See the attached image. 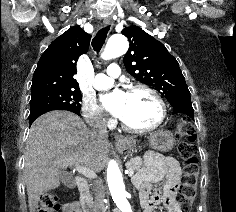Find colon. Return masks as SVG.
Returning <instances> with one entry per match:
<instances>
[{
	"instance_id": "1",
	"label": "colon",
	"mask_w": 236,
	"mask_h": 212,
	"mask_svg": "<svg viewBox=\"0 0 236 212\" xmlns=\"http://www.w3.org/2000/svg\"><path fill=\"white\" fill-rule=\"evenodd\" d=\"M177 137L183 139L179 144V154L185 161L182 183L178 191L177 199L182 207L181 212H190L197 198V186L199 179V166L196 157L195 134L191 120L183 117L179 120ZM60 204L54 193H43L36 212H59Z\"/></svg>"
}]
</instances>
